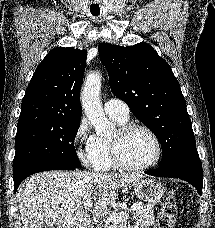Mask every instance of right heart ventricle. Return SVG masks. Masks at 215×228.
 I'll list each match as a JSON object with an SVG mask.
<instances>
[{"label":"right heart ventricle","instance_id":"1","mask_svg":"<svg viewBox=\"0 0 215 228\" xmlns=\"http://www.w3.org/2000/svg\"><path fill=\"white\" fill-rule=\"evenodd\" d=\"M110 118L119 126L127 123L128 121V119H122L115 115H110ZM90 164L97 171H108L115 167L110 152V138L103 136L95 137Z\"/></svg>","mask_w":215,"mask_h":228}]
</instances>
